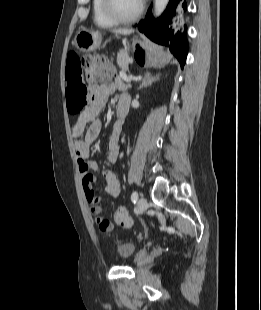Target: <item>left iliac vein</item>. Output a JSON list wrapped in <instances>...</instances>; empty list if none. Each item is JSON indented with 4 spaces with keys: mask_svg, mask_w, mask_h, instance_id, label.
<instances>
[{
    "mask_svg": "<svg viewBox=\"0 0 261 310\" xmlns=\"http://www.w3.org/2000/svg\"><path fill=\"white\" fill-rule=\"evenodd\" d=\"M137 207L140 213H143L147 209V201L144 197L138 199Z\"/></svg>",
    "mask_w": 261,
    "mask_h": 310,
    "instance_id": "1",
    "label": "left iliac vein"
}]
</instances>
